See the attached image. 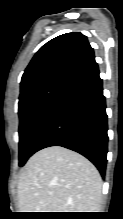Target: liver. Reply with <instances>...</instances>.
I'll list each match as a JSON object with an SVG mask.
<instances>
[{"label": "liver", "mask_w": 123, "mask_h": 219, "mask_svg": "<svg viewBox=\"0 0 123 219\" xmlns=\"http://www.w3.org/2000/svg\"><path fill=\"white\" fill-rule=\"evenodd\" d=\"M17 194L20 212H99L102 179L82 155L50 146L27 161Z\"/></svg>", "instance_id": "liver-1"}]
</instances>
